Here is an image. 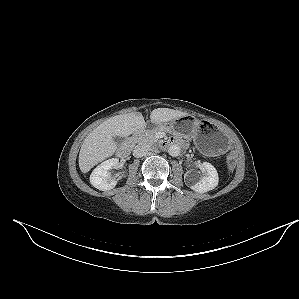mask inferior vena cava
Segmentation results:
<instances>
[{
  "label": "inferior vena cava",
  "instance_id": "602c4592",
  "mask_svg": "<svg viewBox=\"0 0 299 299\" xmlns=\"http://www.w3.org/2000/svg\"><path fill=\"white\" fill-rule=\"evenodd\" d=\"M150 151H152V147L150 145L141 144L135 147V149L133 150V156L137 158L143 157Z\"/></svg>",
  "mask_w": 299,
  "mask_h": 299
}]
</instances>
